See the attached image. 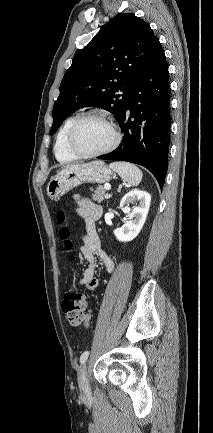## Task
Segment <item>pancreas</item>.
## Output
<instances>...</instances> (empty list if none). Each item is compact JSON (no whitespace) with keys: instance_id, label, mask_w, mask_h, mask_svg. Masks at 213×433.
I'll return each mask as SVG.
<instances>
[{"instance_id":"obj_1","label":"pancreas","mask_w":213,"mask_h":433,"mask_svg":"<svg viewBox=\"0 0 213 433\" xmlns=\"http://www.w3.org/2000/svg\"><path fill=\"white\" fill-rule=\"evenodd\" d=\"M92 198L94 201L101 203L106 198L105 188L98 186L92 194Z\"/></svg>"}]
</instances>
